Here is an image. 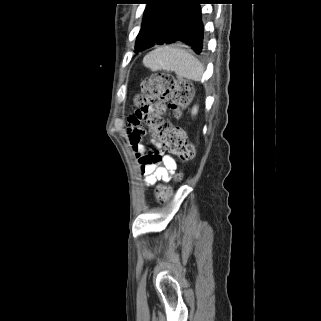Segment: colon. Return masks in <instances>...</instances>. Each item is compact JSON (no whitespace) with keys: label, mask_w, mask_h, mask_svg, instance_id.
<instances>
[{"label":"colon","mask_w":321,"mask_h":321,"mask_svg":"<svg viewBox=\"0 0 321 321\" xmlns=\"http://www.w3.org/2000/svg\"><path fill=\"white\" fill-rule=\"evenodd\" d=\"M192 85L186 81H178L169 74H153L140 85V91L135 97L136 105L147 108L151 105L160 106L162 102H169V107L176 117L181 115L191 101ZM140 108V109H141ZM152 138L159 144L161 153L167 152L190 161L195 155L193 144L189 141L186 132L179 126L167 121L151 122ZM170 192L168 187L159 188V196L166 197Z\"/></svg>","instance_id":"5ec220e1"}]
</instances>
